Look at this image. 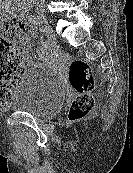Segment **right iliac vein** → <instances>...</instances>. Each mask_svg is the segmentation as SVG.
<instances>
[{
	"mask_svg": "<svg viewBox=\"0 0 133 173\" xmlns=\"http://www.w3.org/2000/svg\"><path fill=\"white\" fill-rule=\"evenodd\" d=\"M39 17L41 19V22L44 24V31L46 33L47 36V41H48V46H49V50L50 49H54L56 46V37L54 34L53 29L51 28V26L49 25L45 15L43 13L39 14Z\"/></svg>",
	"mask_w": 133,
	"mask_h": 173,
	"instance_id": "1",
	"label": "right iliac vein"
}]
</instances>
